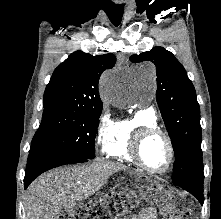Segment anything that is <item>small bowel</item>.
Instances as JSON below:
<instances>
[{
    "mask_svg": "<svg viewBox=\"0 0 221 219\" xmlns=\"http://www.w3.org/2000/svg\"><path fill=\"white\" fill-rule=\"evenodd\" d=\"M132 219H157L156 211L153 208H146L137 217H133Z\"/></svg>",
    "mask_w": 221,
    "mask_h": 219,
    "instance_id": "c3829d8e",
    "label": "small bowel"
}]
</instances>
